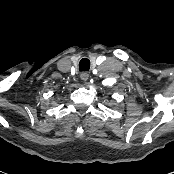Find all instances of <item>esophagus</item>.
I'll use <instances>...</instances> for the list:
<instances>
[{"label": "esophagus", "instance_id": "1", "mask_svg": "<svg viewBox=\"0 0 174 174\" xmlns=\"http://www.w3.org/2000/svg\"><path fill=\"white\" fill-rule=\"evenodd\" d=\"M80 78H81L83 81H86V80H88V78H89V74H88L87 72H82V73L80 74Z\"/></svg>", "mask_w": 174, "mask_h": 174}]
</instances>
